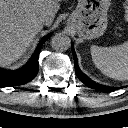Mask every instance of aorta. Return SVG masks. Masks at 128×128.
<instances>
[{
	"label": "aorta",
	"instance_id": "aorta-1",
	"mask_svg": "<svg viewBox=\"0 0 128 128\" xmlns=\"http://www.w3.org/2000/svg\"><path fill=\"white\" fill-rule=\"evenodd\" d=\"M50 44H51L52 49L56 51H65L70 46V39L65 35L56 34L51 39Z\"/></svg>",
	"mask_w": 128,
	"mask_h": 128
}]
</instances>
